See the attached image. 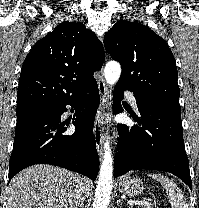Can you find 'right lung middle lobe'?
Returning <instances> with one entry per match:
<instances>
[{
	"mask_svg": "<svg viewBox=\"0 0 199 208\" xmlns=\"http://www.w3.org/2000/svg\"><path fill=\"white\" fill-rule=\"evenodd\" d=\"M42 106H33V107H26V108H22V109H17L16 110V114H20L22 112H27V111H31V110H36V109H40Z\"/></svg>",
	"mask_w": 199,
	"mask_h": 208,
	"instance_id": "dd1d6c3e",
	"label": "right lung middle lobe"
}]
</instances>
